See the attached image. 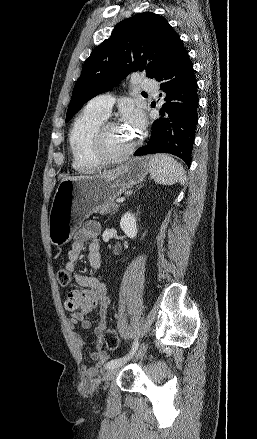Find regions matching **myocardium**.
Returning a JSON list of instances; mask_svg holds the SVG:
<instances>
[{
    "mask_svg": "<svg viewBox=\"0 0 257 439\" xmlns=\"http://www.w3.org/2000/svg\"><path fill=\"white\" fill-rule=\"evenodd\" d=\"M118 125L115 121H103L96 129L93 137L94 152L100 162H117L127 158L136 147L138 141L133 142L127 148L117 154H109L105 148L104 133L109 126Z\"/></svg>",
    "mask_w": 257,
    "mask_h": 439,
    "instance_id": "f54148a6",
    "label": "myocardium"
}]
</instances>
